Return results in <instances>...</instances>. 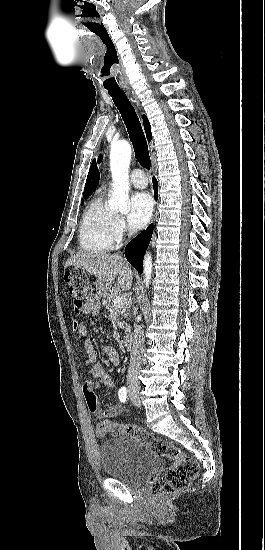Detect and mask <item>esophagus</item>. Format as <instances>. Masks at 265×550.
I'll list each match as a JSON object with an SVG mask.
<instances>
[{
    "instance_id": "1",
    "label": "esophagus",
    "mask_w": 265,
    "mask_h": 550,
    "mask_svg": "<svg viewBox=\"0 0 265 550\" xmlns=\"http://www.w3.org/2000/svg\"><path fill=\"white\" fill-rule=\"evenodd\" d=\"M133 101L135 102V104L137 105V107L140 108L139 101H138V99L136 98V96H134V95H133Z\"/></svg>"
}]
</instances>
